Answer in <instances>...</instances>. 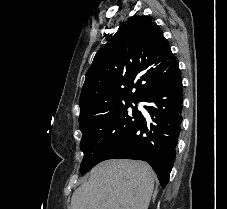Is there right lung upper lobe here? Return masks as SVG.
Listing matches in <instances>:
<instances>
[{
  "label": "right lung upper lobe",
  "mask_w": 227,
  "mask_h": 209,
  "mask_svg": "<svg viewBox=\"0 0 227 209\" xmlns=\"http://www.w3.org/2000/svg\"><path fill=\"white\" fill-rule=\"evenodd\" d=\"M176 64L160 27L148 16L131 17L95 55L85 76L79 119L101 114L107 98L143 101L167 79L154 68Z\"/></svg>",
  "instance_id": "1"
}]
</instances>
